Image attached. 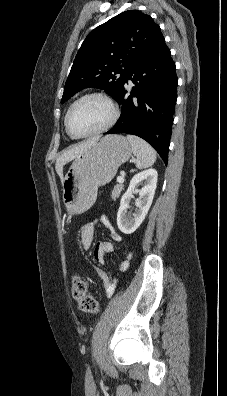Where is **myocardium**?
Segmentation results:
<instances>
[{
  "mask_svg": "<svg viewBox=\"0 0 227 396\" xmlns=\"http://www.w3.org/2000/svg\"><path fill=\"white\" fill-rule=\"evenodd\" d=\"M88 98H100V99L104 100L111 110V117L108 120V122L106 124H104L102 127L98 128L90 133L78 135V134H75L71 130L70 125H69V117H70V114H71L73 108L77 104H79L81 101L88 99ZM119 118H120V109H119L118 105L114 102V100L106 93H103L100 91H92V92H87V93L81 95L75 101H73L71 103V105L69 106V108L67 109V112L65 114L64 125H65V129L70 137L75 138V139H83V138L97 136L99 134H102V133L110 130L117 123Z\"/></svg>",
  "mask_w": 227,
  "mask_h": 396,
  "instance_id": "obj_1",
  "label": "myocardium"
}]
</instances>
